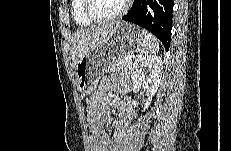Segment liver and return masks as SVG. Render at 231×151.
I'll return each instance as SVG.
<instances>
[{
	"mask_svg": "<svg viewBox=\"0 0 231 151\" xmlns=\"http://www.w3.org/2000/svg\"><path fill=\"white\" fill-rule=\"evenodd\" d=\"M116 23L111 22L97 27L79 29L73 34L71 58L74 68H76L80 56L101 45L107 39Z\"/></svg>",
	"mask_w": 231,
	"mask_h": 151,
	"instance_id": "6515ba94",
	"label": "liver"
}]
</instances>
